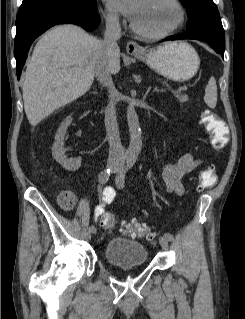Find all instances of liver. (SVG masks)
I'll use <instances>...</instances> for the list:
<instances>
[{
	"mask_svg": "<svg viewBox=\"0 0 245 319\" xmlns=\"http://www.w3.org/2000/svg\"><path fill=\"white\" fill-rule=\"evenodd\" d=\"M105 55L101 41L81 27L59 25L36 43L23 83L24 109L36 126L56 109L84 95L91 87ZM110 73L120 71V53L109 62Z\"/></svg>",
	"mask_w": 245,
	"mask_h": 319,
	"instance_id": "6515ba94",
	"label": "liver"
}]
</instances>
